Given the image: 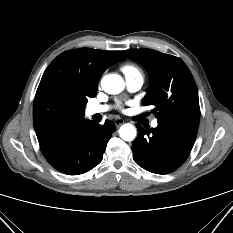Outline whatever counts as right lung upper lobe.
Masks as SVG:
<instances>
[{"instance_id":"right-lung-upper-lobe-1","label":"right lung upper lobe","mask_w":233,"mask_h":233,"mask_svg":"<svg viewBox=\"0 0 233 233\" xmlns=\"http://www.w3.org/2000/svg\"><path fill=\"white\" fill-rule=\"evenodd\" d=\"M125 59L121 52L80 48L57 56L38 86L33 123L39 144L53 140L84 118L88 98L95 97L103 72Z\"/></svg>"}]
</instances>
